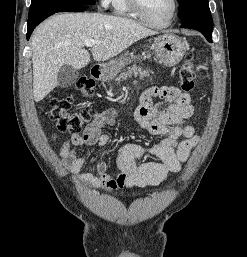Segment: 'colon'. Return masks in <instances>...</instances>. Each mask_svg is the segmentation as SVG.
Masks as SVG:
<instances>
[{"label":"colon","mask_w":247,"mask_h":257,"mask_svg":"<svg viewBox=\"0 0 247 257\" xmlns=\"http://www.w3.org/2000/svg\"><path fill=\"white\" fill-rule=\"evenodd\" d=\"M194 58L188 55L180 70V88L183 92H190L194 88ZM94 81L83 77L77 81L75 88L84 98L94 95ZM74 98L72 96L56 97L51 100V118L60 130L79 133L96 116L93 109L72 110Z\"/></svg>","instance_id":"5ec220e1"}]
</instances>
